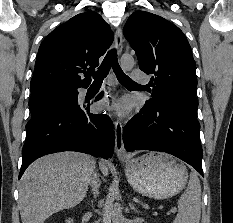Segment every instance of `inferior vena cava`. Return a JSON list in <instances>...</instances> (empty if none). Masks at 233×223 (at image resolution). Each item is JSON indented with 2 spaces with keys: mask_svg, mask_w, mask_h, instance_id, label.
Listing matches in <instances>:
<instances>
[{
  "mask_svg": "<svg viewBox=\"0 0 233 223\" xmlns=\"http://www.w3.org/2000/svg\"><path fill=\"white\" fill-rule=\"evenodd\" d=\"M99 179H98V175L97 173H92L91 175V185H92V191H94V193H97V187H99L100 183H98ZM96 197V195H95Z\"/></svg>",
  "mask_w": 233,
  "mask_h": 223,
  "instance_id": "obj_1",
  "label": "inferior vena cava"
}]
</instances>
